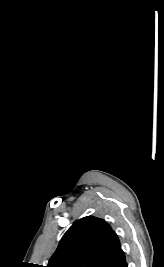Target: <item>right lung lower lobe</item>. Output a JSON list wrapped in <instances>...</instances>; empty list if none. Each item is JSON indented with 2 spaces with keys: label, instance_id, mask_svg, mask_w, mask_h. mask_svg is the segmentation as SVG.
<instances>
[{
  "label": "right lung lower lobe",
  "instance_id": "obj_1",
  "mask_svg": "<svg viewBox=\"0 0 164 267\" xmlns=\"http://www.w3.org/2000/svg\"><path fill=\"white\" fill-rule=\"evenodd\" d=\"M99 267H128V266L123 251L119 250L109 259L104 261Z\"/></svg>",
  "mask_w": 164,
  "mask_h": 267
}]
</instances>
